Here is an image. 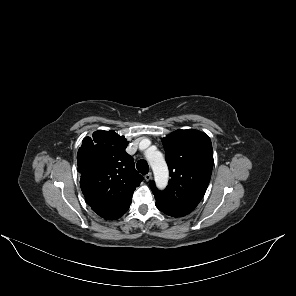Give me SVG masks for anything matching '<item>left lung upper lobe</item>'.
<instances>
[{
    "mask_svg": "<svg viewBox=\"0 0 296 296\" xmlns=\"http://www.w3.org/2000/svg\"><path fill=\"white\" fill-rule=\"evenodd\" d=\"M171 179L164 191L152 181L156 204L167 210L191 212L204 196L213 168L209 136L189 129L177 130L162 139Z\"/></svg>",
    "mask_w": 296,
    "mask_h": 296,
    "instance_id": "left-lung-upper-lobe-1",
    "label": "left lung upper lobe"
}]
</instances>
